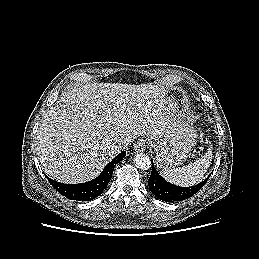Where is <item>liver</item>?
<instances>
[{
  "label": "liver",
  "mask_w": 259,
  "mask_h": 259,
  "mask_svg": "<svg viewBox=\"0 0 259 259\" xmlns=\"http://www.w3.org/2000/svg\"><path fill=\"white\" fill-rule=\"evenodd\" d=\"M173 99L151 84L87 83L62 92L43 116L37 155L44 172L66 184L97 177L119 153L114 145L163 136Z\"/></svg>",
  "instance_id": "obj_1"
}]
</instances>
